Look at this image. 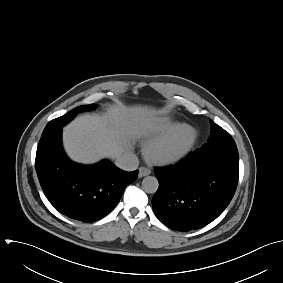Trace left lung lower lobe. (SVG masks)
<instances>
[{"instance_id":"left-lung-lower-lobe-1","label":"left lung lower lobe","mask_w":283,"mask_h":283,"mask_svg":"<svg viewBox=\"0 0 283 283\" xmlns=\"http://www.w3.org/2000/svg\"><path fill=\"white\" fill-rule=\"evenodd\" d=\"M159 188L152 198L156 217L167 227L190 231L204 227L228 206L239 177V161L199 156L156 168Z\"/></svg>"}]
</instances>
